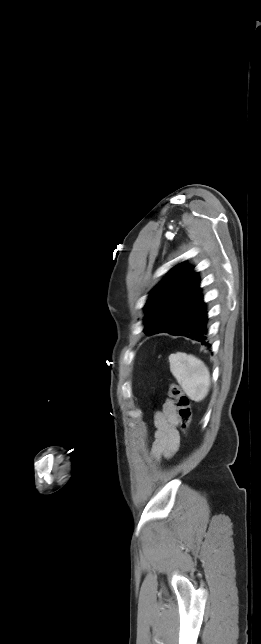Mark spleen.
<instances>
[{"label":"spleen","mask_w":261,"mask_h":644,"mask_svg":"<svg viewBox=\"0 0 261 644\" xmlns=\"http://www.w3.org/2000/svg\"><path fill=\"white\" fill-rule=\"evenodd\" d=\"M170 371L193 401L200 402L208 394L210 373L207 366L193 355L177 352L169 356Z\"/></svg>","instance_id":"spleen-1"}]
</instances>
